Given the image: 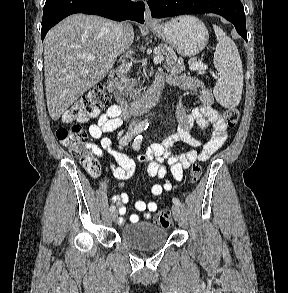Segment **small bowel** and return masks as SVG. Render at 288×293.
Segmentation results:
<instances>
[{
    "label": "small bowel",
    "instance_id": "obj_1",
    "mask_svg": "<svg viewBox=\"0 0 288 293\" xmlns=\"http://www.w3.org/2000/svg\"><path fill=\"white\" fill-rule=\"evenodd\" d=\"M165 78L166 82L179 87L183 94L179 97L176 106V117L178 120V128L174 133L165 137L161 142L152 144L145 153L137 157V161L144 164L146 173L149 177L164 180V183H156L151 188V193L154 197L161 196L165 191L172 188L171 183L167 179L168 169L174 179L181 181L183 171L196 161H207L218 149L222 147L227 139L228 126L220 117L218 111L214 108V98L211 90L198 78L179 75L170 76L160 73ZM186 94H198L199 103L187 110L183 96ZM125 115L121 112L119 106L111 105L105 113L101 114L98 121L89 126V134L93 139L99 141V145L92 144L91 150L96 156H103L107 151L112 160L110 167L113 170L115 178L125 180L130 178L136 168V161L126 154L112 148L111 139L108 134L118 129ZM197 126L202 131L208 127H212L213 132L209 141L203 143L191 134V130ZM177 143H184L191 147H201L198 152L195 149L188 150L183 153H178L173 150ZM112 201L117 205L119 223L124 222L123 216L126 214L125 205L129 201V196L125 193L116 195ZM155 201H136L135 209L143 212L144 218H150L151 214L157 210ZM131 223L139 221V215L134 213L129 217Z\"/></svg>",
    "mask_w": 288,
    "mask_h": 293
}]
</instances>
